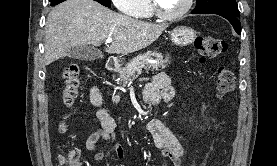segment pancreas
<instances>
[{"label": "pancreas", "mask_w": 277, "mask_h": 166, "mask_svg": "<svg viewBox=\"0 0 277 166\" xmlns=\"http://www.w3.org/2000/svg\"><path fill=\"white\" fill-rule=\"evenodd\" d=\"M149 59L157 60V63H149ZM170 63V56L165 57L156 51H149L143 55H138L133 59L126 67L120 69V80L118 84L126 86L129 82L133 81L142 73V70L146 71H159L165 69ZM113 102L118 103L120 101V95L113 96Z\"/></svg>", "instance_id": "obj_1"}]
</instances>
